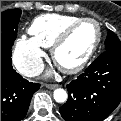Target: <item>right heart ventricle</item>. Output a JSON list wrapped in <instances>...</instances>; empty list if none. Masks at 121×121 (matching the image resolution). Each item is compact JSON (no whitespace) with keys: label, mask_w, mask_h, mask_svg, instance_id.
<instances>
[{"label":"right heart ventricle","mask_w":121,"mask_h":121,"mask_svg":"<svg viewBox=\"0 0 121 121\" xmlns=\"http://www.w3.org/2000/svg\"><path fill=\"white\" fill-rule=\"evenodd\" d=\"M78 19L80 18L73 15L44 14L32 21L29 33L38 45L49 48L58 35Z\"/></svg>","instance_id":"obj_1"}]
</instances>
